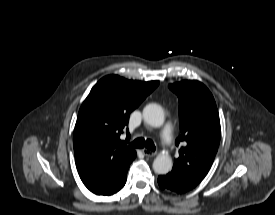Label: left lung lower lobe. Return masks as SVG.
Listing matches in <instances>:
<instances>
[{"instance_id":"0a47b994","label":"left lung lower lobe","mask_w":275,"mask_h":215,"mask_svg":"<svg viewBox=\"0 0 275 215\" xmlns=\"http://www.w3.org/2000/svg\"><path fill=\"white\" fill-rule=\"evenodd\" d=\"M201 180L189 176L179 169L173 168L167 175L158 177V184L161 189L177 194L185 193L196 187Z\"/></svg>"}]
</instances>
